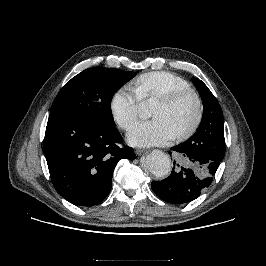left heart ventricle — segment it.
Wrapping results in <instances>:
<instances>
[{
  "label": "left heart ventricle",
  "instance_id": "b2bd125f",
  "mask_svg": "<svg viewBox=\"0 0 266 266\" xmlns=\"http://www.w3.org/2000/svg\"><path fill=\"white\" fill-rule=\"evenodd\" d=\"M195 112L196 106L193 99L185 98L172 106L155 102L152 109V116L154 118L165 119L177 134L190 126L194 119Z\"/></svg>",
  "mask_w": 266,
  "mask_h": 266
}]
</instances>
